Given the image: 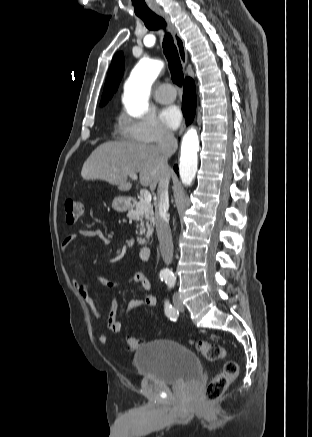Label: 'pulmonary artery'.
I'll return each mask as SVG.
<instances>
[{
    "label": "pulmonary artery",
    "instance_id": "pulmonary-artery-1",
    "mask_svg": "<svg viewBox=\"0 0 312 437\" xmlns=\"http://www.w3.org/2000/svg\"><path fill=\"white\" fill-rule=\"evenodd\" d=\"M176 93L169 84L160 85L155 91L154 98L160 103H170L175 100Z\"/></svg>",
    "mask_w": 312,
    "mask_h": 437
}]
</instances>
